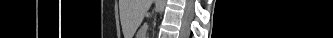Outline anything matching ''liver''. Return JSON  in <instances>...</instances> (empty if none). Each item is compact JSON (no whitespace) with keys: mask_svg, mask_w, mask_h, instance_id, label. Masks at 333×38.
<instances>
[{"mask_svg":"<svg viewBox=\"0 0 333 38\" xmlns=\"http://www.w3.org/2000/svg\"><path fill=\"white\" fill-rule=\"evenodd\" d=\"M152 2L153 0H135L133 2V23H135V27L141 23Z\"/></svg>","mask_w":333,"mask_h":38,"instance_id":"liver-1","label":"liver"}]
</instances>
